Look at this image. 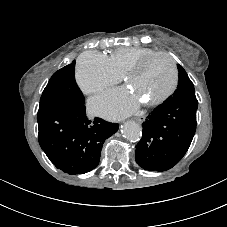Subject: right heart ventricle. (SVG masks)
<instances>
[{"mask_svg":"<svg viewBox=\"0 0 227 227\" xmlns=\"http://www.w3.org/2000/svg\"><path fill=\"white\" fill-rule=\"evenodd\" d=\"M153 52H156L153 48L123 46L111 51L107 57L113 70L119 75H124L130 66Z\"/></svg>","mask_w":227,"mask_h":227,"instance_id":"1","label":"right heart ventricle"}]
</instances>
